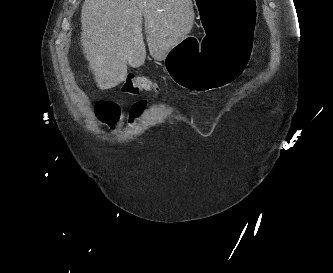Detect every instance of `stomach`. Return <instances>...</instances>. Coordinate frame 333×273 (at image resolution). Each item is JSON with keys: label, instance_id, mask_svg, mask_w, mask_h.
Masks as SVG:
<instances>
[{"label": "stomach", "instance_id": "1", "mask_svg": "<svg viewBox=\"0 0 333 273\" xmlns=\"http://www.w3.org/2000/svg\"><path fill=\"white\" fill-rule=\"evenodd\" d=\"M202 39L184 37L167 53L166 68L181 87L208 91L237 81L253 51L256 0H194ZM198 45V49H197Z\"/></svg>", "mask_w": 333, "mask_h": 273}]
</instances>
